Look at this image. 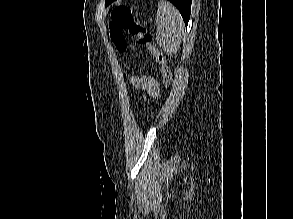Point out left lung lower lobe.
Listing matches in <instances>:
<instances>
[{"label": "left lung lower lobe", "instance_id": "0a47b994", "mask_svg": "<svg viewBox=\"0 0 293 219\" xmlns=\"http://www.w3.org/2000/svg\"><path fill=\"white\" fill-rule=\"evenodd\" d=\"M169 1L177 7V9L180 11L183 17L185 24L187 25L190 19L192 0H169Z\"/></svg>", "mask_w": 293, "mask_h": 219}]
</instances>
